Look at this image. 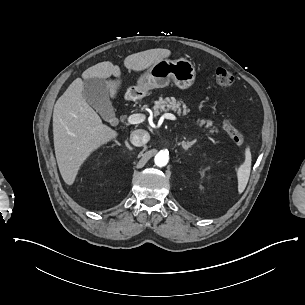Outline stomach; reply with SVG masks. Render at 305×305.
<instances>
[{
    "label": "stomach",
    "instance_id": "1",
    "mask_svg": "<svg viewBox=\"0 0 305 305\" xmlns=\"http://www.w3.org/2000/svg\"><path fill=\"white\" fill-rule=\"evenodd\" d=\"M170 80L181 90L189 89L196 80L195 66L185 58L161 60L140 79V87L134 88L132 97H136V93L144 95L150 88L165 87Z\"/></svg>",
    "mask_w": 305,
    "mask_h": 305
}]
</instances>
